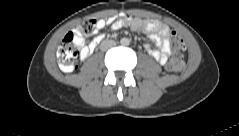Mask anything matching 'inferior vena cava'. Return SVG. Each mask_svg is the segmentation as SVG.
<instances>
[{
    "instance_id": "1",
    "label": "inferior vena cava",
    "mask_w": 239,
    "mask_h": 136,
    "mask_svg": "<svg viewBox=\"0 0 239 136\" xmlns=\"http://www.w3.org/2000/svg\"><path fill=\"white\" fill-rule=\"evenodd\" d=\"M116 45L115 41L113 40H105L101 43V50L106 51L109 48H112Z\"/></svg>"
}]
</instances>
